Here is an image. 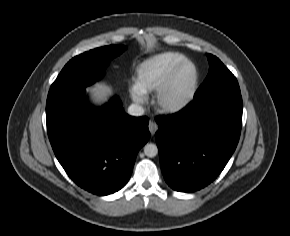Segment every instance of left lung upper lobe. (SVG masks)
Masks as SVG:
<instances>
[{"label": "left lung upper lobe", "mask_w": 290, "mask_h": 236, "mask_svg": "<svg viewBox=\"0 0 290 236\" xmlns=\"http://www.w3.org/2000/svg\"><path fill=\"white\" fill-rule=\"evenodd\" d=\"M207 58L210 65L209 73L195 95L208 92L223 85L237 82L235 76L217 57L207 54Z\"/></svg>", "instance_id": "5c2ea615"}]
</instances>
